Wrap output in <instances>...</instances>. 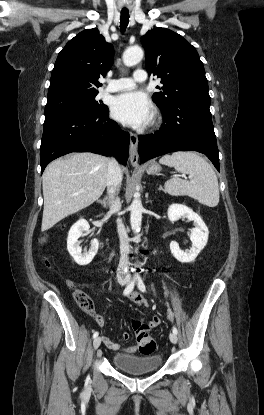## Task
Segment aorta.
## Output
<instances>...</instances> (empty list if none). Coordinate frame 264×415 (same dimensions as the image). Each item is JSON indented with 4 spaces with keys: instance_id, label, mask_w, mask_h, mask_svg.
Listing matches in <instances>:
<instances>
[{
    "instance_id": "762f6f07",
    "label": "aorta",
    "mask_w": 264,
    "mask_h": 415,
    "mask_svg": "<svg viewBox=\"0 0 264 415\" xmlns=\"http://www.w3.org/2000/svg\"><path fill=\"white\" fill-rule=\"evenodd\" d=\"M143 50L140 47H130L123 53V63L126 66H134L143 58ZM130 223L135 234L140 232L143 206L139 194H135L130 205Z\"/></svg>"
}]
</instances>
